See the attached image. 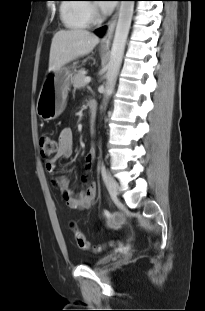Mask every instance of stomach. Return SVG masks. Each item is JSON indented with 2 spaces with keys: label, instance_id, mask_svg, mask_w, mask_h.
I'll return each mask as SVG.
<instances>
[{
  "label": "stomach",
  "instance_id": "0dacf381",
  "mask_svg": "<svg viewBox=\"0 0 205 311\" xmlns=\"http://www.w3.org/2000/svg\"><path fill=\"white\" fill-rule=\"evenodd\" d=\"M74 68V65H73ZM73 73L63 66L57 71H49L41 87L36 111L45 121L57 118L64 109Z\"/></svg>",
  "mask_w": 205,
  "mask_h": 311
}]
</instances>
